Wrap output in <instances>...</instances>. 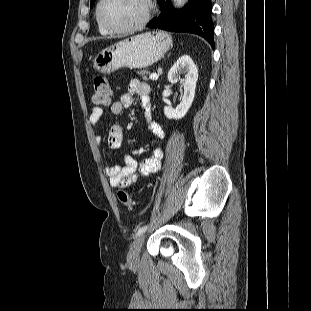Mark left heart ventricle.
<instances>
[{"label": "left heart ventricle", "mask_w": 311, "mask_h": 311, "mask_svg": "<svg viewBox=\"0 0 311 311\" xmlns=\"http://www.w3.org/2000/svg\"><path fill=\"white\" fill-rule=\"evenodd\" d=\"M144 11V0H106L102 6V17L114 27L125 28L138 22Z\"/></svg>", "instance_id": "obj_1"}]
</instances>
